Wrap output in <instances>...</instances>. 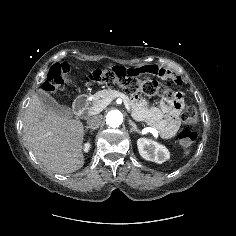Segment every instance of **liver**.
I'll return each instance as SVG.
<instances>
[{"label": "liver", "mask_w": 236, "mask_h": 236, "mask_svg": "<svg viewBox=\"0 0 236 236\" xmlns=\"http://www.w3.org/2000/svg\"><path fill=\"white\" fill-rule=\"evenodd\" d=\"M23 132L27 147L49 170L66 174L84 165L82 122L47 109L37 94L29 100Z\"/></svg>", "instance_id": "1"}]
</instances>
